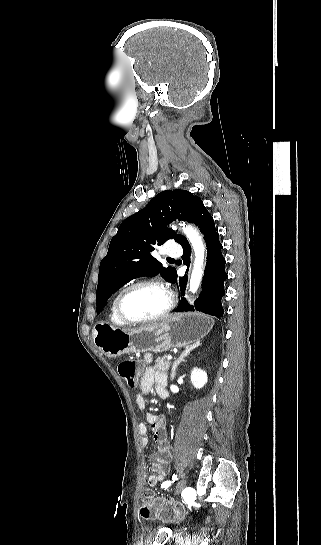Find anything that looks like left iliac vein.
Here are the masks:
<instances>
[{
    "mask_svg": "<svg viewBox=\"0 0 321 545\" xmlns=\"http://www.w3.org/2000/svg\"><path fill=\"white\" fill-rule=\"evenodd\" d=\"M185 487H186V480L185 479L180 480L179 483L176 485L175 495L181 494Z\"/></svg>",
    "mask_w": 321,
    "mask_h": 545,
    "instance_id": "4c4485c4",
    "label": "left iliac vein"
}]
</instances>
